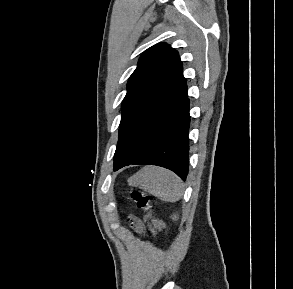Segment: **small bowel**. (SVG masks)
<instances>
[{"instance_id": "c3829d8e", "label": "small bowel", "mask_w": 293, "mask_h": 289, "mask_svg": "<svg viewBox=\"0 0 293 289\" xmlns=\"http://www.w3.org/2000/svg\"><path fill=\"white\" fill-rule=\"evenodd\" d=\"M133 224H134L135 229L140 233H143L146 229V225L137 218H134ZM148 228L152 234H155L154 228H152L151 226H148Z\"/></svg>"}]
</instances>
